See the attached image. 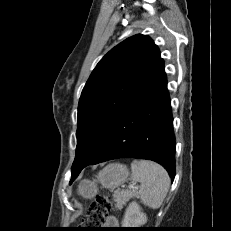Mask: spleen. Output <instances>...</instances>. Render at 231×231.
<instances>
[{"instance_id": "spleen-1", "label": "spleen", "mask_w": 231, "mask_h": 231, "mask_svg": "<svg viewBox=\"0 0 231 231\" xmlns=\"http://www.w3.org/2000/svg\"><path fill=\"white\" fill-rule=\"evenodd\" d=\"M131 178L140 182L138 195L145 206L157 209L170 187V177L159 164L149 160L134 161L131 164Z\"/></svg>"}]
</instances>
